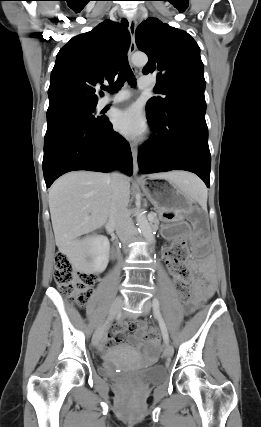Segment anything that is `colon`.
<instances>
[{
    "label": "colon",
    "instance_id": "colon-1",
    "mask_svg": "<svg viewBox=\"0 0 261 427\" xmlns=\"http://www.w3.org/2000/svg\"><path fill=\"white\" fill-rule=\"evenodd\" d=\"M165 255L168 259L169 269L174 276L175 286L182 301L189 299V285L192 275L186 265L188 257L185 242H174L167 247ZM55 282L62 293L70 297L77 304L85 305L92 293V287L97 277L94 274L79 271L75 268L70 258L64 253H57L55 258ZM140 332L146 339H154L157 334L145 324L140 323Z\"/></svg>",
    "mask_w": 261,
    "mask_h": 427
}]
</instances>
